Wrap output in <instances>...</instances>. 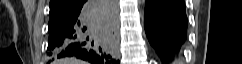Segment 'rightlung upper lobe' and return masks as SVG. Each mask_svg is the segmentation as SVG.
Instances as JSON below:
<instances>
[{
    "label": "right lung upper lobe",
    "instance_id": "right-lung-upper-lobe-1",
    "mask_svg": "<svg viewBox=\"0 0 242 64\" xmlns=\"http://www.w3.org/2000/svg\"><path fill=\"white\" fill-rule=\"evenodd\" d=\"M81 0H50V14L51 13H65L68 14L74 11Z\"/></svg>",
    "mask_w": 242,
    "mask_h": 64
}]
</instances>
